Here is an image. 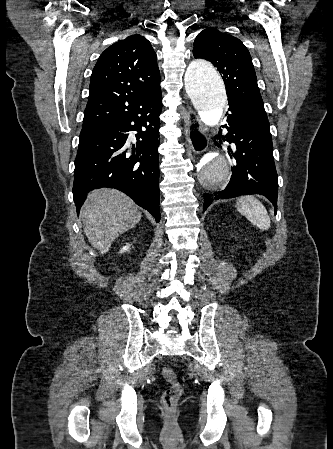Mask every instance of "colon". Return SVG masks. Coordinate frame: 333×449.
I'll list each match as a JSON object with an SVG mask.
<instances>
[{
	"instance_id": "1",
	"label": "colon",
	"mask_w": 333,
	"mask_h": 449,
	"mask_svg": "<svg viewBox=\"0 0 333 449\" xmlns=\"http://www.w3.org/2000/svg\"><path fill=\"white\" fill-rule=\"evenodd\" d=\"M162 376L170 383L169 388L162 395V403L166 408L172 409L180 399L183 389L175 371L171 367H164L162 369Z\"/></svg>"
}]
</instances>
